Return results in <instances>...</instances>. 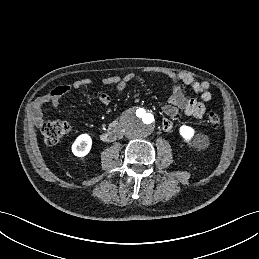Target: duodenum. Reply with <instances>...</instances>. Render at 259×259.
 I'll use <instances>...</instances> for the list:
<instances>
[{
  "label": "duodenum",
  "instance_id": "1",
  "mask_svg": "<svg viewBox=\"0 0 259 259\" xmlns=\"http://www.w3.org/2000/svg\"><path fill=\"white\" fill-rule=\"evenodd\" d=\"M120 132L119 126L116 121H113L109 126L108 130H106L101 138L103 141L111 142L114 141Z\"/></svg>",
  "mask_w": 259,
  "mask_h": 259
}]
</instances>
